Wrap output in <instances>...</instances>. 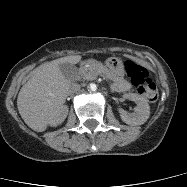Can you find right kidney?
<instances>
[{
  "mask_svg": "<svg viewBox=\"0 0 187 187\" xmlns=\"http://www.w3.org/2000/svg\"><path fill=\"white\" fill-rule=\"evenodd\" d=\"M67 114H68L67 107L62 106L59 109V111L56 114V116L51 120L50 125L51 126H57V125L61 124L65 120Z\"/></svg>",
  "mask_w": 187,
  "mask_h": 187,
  "instance_id": "1",
  "label": "right kidney"
}]
</instances>
